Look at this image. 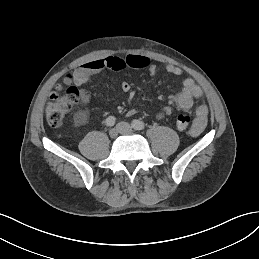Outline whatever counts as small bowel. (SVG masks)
I'll return each instance as SVG.
<instances>
[{"mask_svg":"<svg viewBox=\"0 0 259 259\" xmlns=\"http://www.w3.org/2000/svg\"><path fill=\"white\" fill-rule=\"evenodd\" d=\"M126 68L147 69L151 74L157 72V67L152 64L146 56L143 55H127L126 57L109 56L87 62L80 67L74 69L70 73V77L76 85H81L91 80L97 74L105 71H120ZM165 72L169 75L180 76L182 69L178 66L168 64L165 66ZM120 89L123 92H130L131 85L128 82H122ZM203 97L202 89L191 78H185L182 83L181 90L174 96L175 104L182 110H189L193 107L194 101ZM134 110H130L128 115H133ZM171 107L166 106L158 114V117L170 115ZM208 106L204 103L199 104L195 109V117L192 121L190 133L193 136L200 135L208 122Z\"/></svg>","mask_w":259,"mask_h":259,"instance_id":"1","label":"small bowel"}]
</instances>
